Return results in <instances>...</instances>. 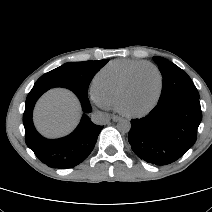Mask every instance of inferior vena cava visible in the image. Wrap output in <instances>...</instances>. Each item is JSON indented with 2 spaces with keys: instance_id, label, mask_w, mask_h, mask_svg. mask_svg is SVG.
<instances>
[{
  "instance_id": "obj_1",
  "label": "inferior vena cava",
  "mask_w": 212,
  "mask_h": 212,
  "mask_svg": "<svg viewBox=\"0 0 212 212\" xmlns=\"http://www.w3.org/2000/svg\"><path fill=\"white\" fill-rule=\"evenodd\" d=\"M91 119L95 124L103 125L110 120V116L105 112L94 111L91 115Z\"/></svg>"
}]
</instances>
